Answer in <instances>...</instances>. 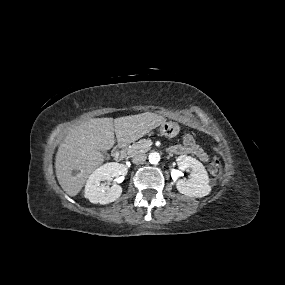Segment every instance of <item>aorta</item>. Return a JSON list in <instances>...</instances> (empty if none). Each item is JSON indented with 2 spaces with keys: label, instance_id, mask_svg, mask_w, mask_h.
<instances>
[{
  "label": "aorta",
  "instance_id": "762f6f07",
  "mask_svg": "<svg viewBox=\"0 0 285 285\" xmlns=\"http://www.w3.org/2000/svg\"><path fill=\"white\" fill-rule=\"evenodd\" d=\"M161 157L158 152H151L149 154V161L151 164H157L160 161Z\"/></svg>",
  "mask_w": 285,
  "mask_h": 285
}]
</instances>
